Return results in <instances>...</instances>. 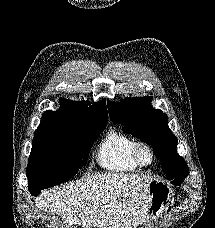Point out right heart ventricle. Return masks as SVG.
<instances>
[{"instance_id": "obj_1", "label": "right heart ventricle", "mask_w": 215, "mask_h": 228, "mask_svg": "<svg viewBox=\"0 0 215 228\" xmlns=\"http://www.w3.org/2000/svg\"><path fill=\"white\" fill-rule=\"evenodd\" d=\"M135 144V139L128 134L112 129L98 144L96 161L110 172H135L139 169L132 156Z\"/></svg>"}]
</instances>
